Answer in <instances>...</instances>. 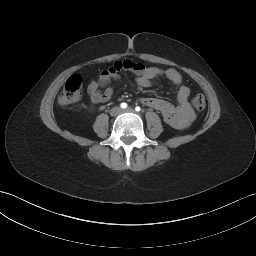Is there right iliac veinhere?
<instances>
[{"instance_id":"63e3f726","label":"right iliac vein","mask_w":256,"mask_h":256,"mask_svg":"<svg viewBox=\"0 0 256 256\" xmlns=\"http://www.w3.org/2000/svg\"><path fill=\"white\" fill-rule=\"evenodd\" d=\"M121 113V109L120 108H115L114 110H113V114L114 115H118V114H120Z\"/></svg>"}]
</instances>
